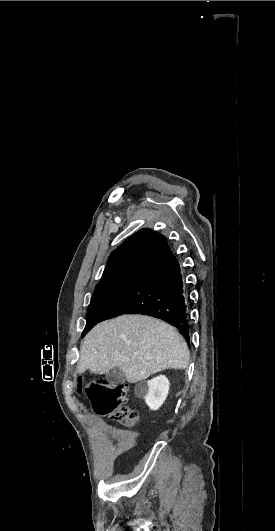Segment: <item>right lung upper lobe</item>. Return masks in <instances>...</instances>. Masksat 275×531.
Returning a JSON list of instances; mask_svg holds the SVG:
<instances>
[{"label":"right lung upper lobe","instance_id":"cb5924a9","mask_svg":"<svg viewBox=\"0 0 275 531\" xmlns=\"http://www.w3.org/2000/svg\"><path fill=\"white\" fill-rule=\"evenodd\" d=\"M168 247L164 235L147 228L141 229L111 253L102 277L126 269L146 268Z\"/></svg>","mask_w":275,"mask_h":531}]
</instances>
